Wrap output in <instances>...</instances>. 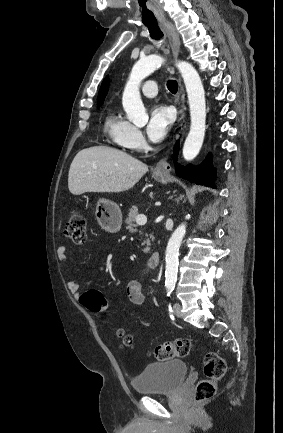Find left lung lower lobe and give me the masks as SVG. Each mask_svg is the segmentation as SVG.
Wrapping results in <instances>:
<instances>
[{
    "instance_id": "1",
    "label": "left lung lower lobe",
    "mask_w": 283,
    "mask_h": 433,
    "mask_svg": "<svg viewBox=\"0 0 283 433\" xmlns=\"http://www.w3.org/2000/svg\"><path fill=\"white\" fill-rule=\"evenodd\" d=\"M179 150V144L174 147V157L177 159ZM176 174L184 179L196 181L198 184H204L206 186L215 187V176L216 171L212 168V155L208 154L204 162L195 168L192 165H187L186 167L178 165L176 166Z\"/></svg>"
}]
</instances>
